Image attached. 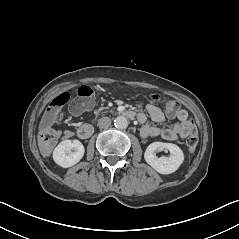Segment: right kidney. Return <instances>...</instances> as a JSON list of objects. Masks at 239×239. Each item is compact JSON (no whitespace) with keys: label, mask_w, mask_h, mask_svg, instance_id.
I'll return each instance as SVG.
<instances>
[{"label":"right kidney","mask_w":239,"mask_h":239,"mask_svg":"<svg viewBox=\"0 0 239 239\" xmlns=\"http://www.w3.org/2000/svg\"><path fill=\"white\" fill-rule=\"evenodd\" d=\"M84 152V146L79 140L65 141L55 147L53 159L62 170L68 171L82 159Z\"/></svg>","instance_id":"1"}]
</instances>
